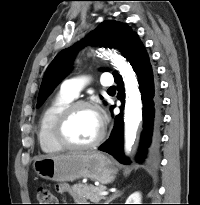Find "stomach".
<instances>
[{
    "instance_id": "stomach-1",
    "label": "stomach",
    "mask_w": 200,
    "mask_h": 205,
    "mask_svg": "<svg viewBox=\"0 0 200 205\" xmlns=\"http://www.w3.org/2000/svg\"><path fill=\"white\" fill-rule=\"evenodd\" d=\"M33 168L41 178L59 182L90 178L107 184L114 180L117 173L114 162L99 152L39 157L34 161Z\"/></svg>"
}]
</instances>
